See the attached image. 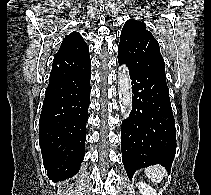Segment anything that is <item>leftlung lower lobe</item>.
<instances>
[{
  "mask_svg": "<svg viewBox=\"0 0 211 195\" xmlns=\"http://www.w3.org/2000/svg\"><path fill=\"white\" fill-rule=\"evenodd\" d=\"M118 62L125 63L120 55ZM128 69L132 111L122 122L121 150L131 179L136 170L154 164H162L169 171L176 153V134L168 87L146 71Z\"/></svg>",
  "mask_w": 211,
  "mask_h": 195,
  "instance_id": "obj_1",
  "label": "left lung lower lobe"
}]
</instances>
